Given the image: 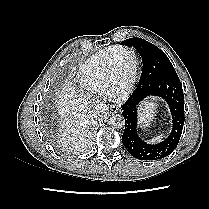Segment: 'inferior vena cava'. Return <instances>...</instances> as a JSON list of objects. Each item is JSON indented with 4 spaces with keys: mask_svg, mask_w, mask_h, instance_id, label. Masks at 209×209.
I'll return each instance as SVG.
<instances>
[{
    "mask_svg": "<svg viewBox=\"0 0 209 209\" xmlns=\"http://www.w3.org/2000/svg\"><path fill=\"white\" fill-rule=\"evenodd\" d=\"M107 106L104 104L97 105L94 109V114H103L107 111Z\"/></svg>",
    "mask_w": 209,
    "mask_h": 209,
    "instance_id": "obj_1",
    "label": "inferior vena cava"
}]
</instances>
